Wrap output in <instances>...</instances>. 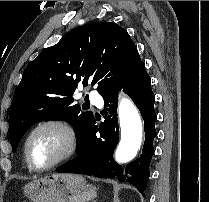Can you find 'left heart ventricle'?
I'll return each mask as SVG.
<instances>
[{"instance_id":"b2bd125f","label":"left heart ventricle","mask_w":209,"mask_h":202,"mask_svg":"<svg viewBox=\"0 0 209 202\" xmlns=\"http://www.w3.org/2000/svg\"><path fill=\"white\" fill-rule=\"evenodd\" d=\"M63 145L60 133L53 128L37 132L30 140L29 151L32 161L37 166L49 164L57 156Z\"/></svg>"}]
</instances>
